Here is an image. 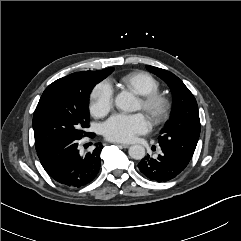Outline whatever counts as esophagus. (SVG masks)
<instances>
[{
	"label": "esophagus",
	"mask_w": 241,
	"mask_h": 241,
	"mask_svg": "<svg viewBox=\"0 0 241 241\" xmlns=\"http://www.w3.org/2000/svg\"><path fill=\"white\" fill-rule=\"evenodd\" d=\"M117 145L123 147V148H129L130 145L129 144H123V143H117Z\"/></svg>",
	"instance_id": "obj_1"
}]
</instances>
